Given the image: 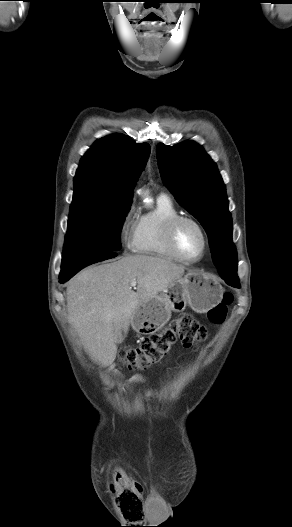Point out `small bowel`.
<instances>
[{"mask_svg": "<svg viewBox=\"0 0 292 527\" xmlns=\"http://www.w3.org/2000/svg\"><path fill=\"white\" fill-rule=\"evenodd\" d=\"M114 374L117 375V376H120V372H118V371H114ZM129 383L131 385L146 384L147 383V379H146V377L144 375L137 374V375L133 376L132 378H130ZM147 394L148 395L150 394L149 390L147 391Z\"/></svg>", "mask_w": 292, "mask_h": 527, "instance_id": "small-bowel-1", "label": "small bowel"}]
</instances>
